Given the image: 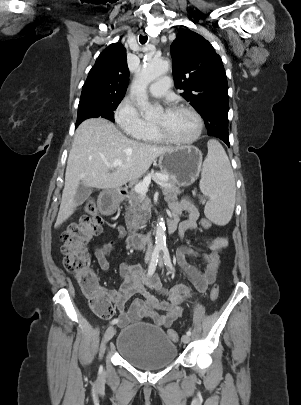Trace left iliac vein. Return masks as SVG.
I'll return each instance as SVG.
<instances>
[{
  "instance_id": "obj_1",
  "label": "left iliac vein",
  "mask_w": 301,
  "mask_h": 405,
  "mask_svg": "<svg viewBox=\"0 0 301 405\" xmlns=\"http://www.w3.org/2000/svg\"><path fill=\"white\" fill-rule=\"evenodd\" d=\"M159 266H160V267L163 266V259H162V257L159 258ZM189 341H190V336H189V335L185 334V335L182 336V342H183V343H189Z\"/></svg>"
}]
</instances>
